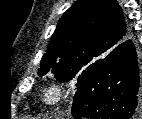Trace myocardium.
I'll use <instances>...</instances> for the list:
<instances>
[{
  "instance_id": "myocardium-1",
  "label": "myocardium",
  "mask_w": 142,
  "mask_h": 119,
  "mask_svg": "<svg viewBox=\"0 0 142 119\" xmlns=\"http://www.w3.org/2000/svg\"><path fill=\"white\" fill-rule=\"evenodd\" d=\"M67 98V92L64 86L58 83L51 84L43 94V101L49 107L62 105Z\"/></svg>"
}]
</instances>
